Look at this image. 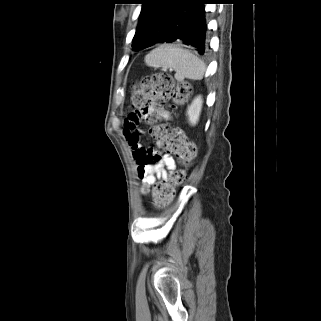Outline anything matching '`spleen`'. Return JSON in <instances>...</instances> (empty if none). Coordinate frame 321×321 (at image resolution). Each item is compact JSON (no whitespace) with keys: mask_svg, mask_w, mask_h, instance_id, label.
Here are the masks:
<instances>
[{"mask_svg":"<svg viewBox=\"0 0 321 321\" xmlns=\"http://www.w3.org/2000/svg\"><path fill=\"white\" fill-rule=\"evenodd\" d=\"M149 67L172 69L176 79L200 80L206 72L205 63L189 50L179 44H162L145 56Z\"/></svg>","mask_w":321,"mask_h":321,"instance_id":"obj_1","label":"spleen"}]
</instances>
